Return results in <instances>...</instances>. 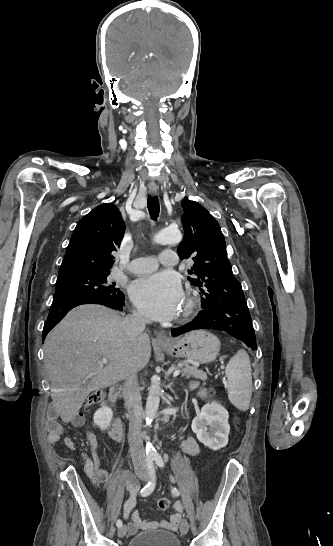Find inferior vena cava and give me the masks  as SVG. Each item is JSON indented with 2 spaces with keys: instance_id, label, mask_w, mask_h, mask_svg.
I'll return each instance as SVG.
<instances>
[{
  "instance_id": "inferior-vena-cava-1",
  "label": "inferior vena cava",
  "mask_w": 333,
  "mask_h": 546,
  "mask_svg": "<svg viewBox=\"0 0 333 546\" xmlns=\"http://www.w3.org/2000/svg\"><path fill=\"white\" fill-rule=\"evenodd\" d=\"M146 323H148V320L136 311H133L132 315H128L122 320L125 335L132 340L142 335ZM122 394L129 413V445L133 465L135 469L145 468L146 456L141 432L143 409L136 372H132L127 376Z\"/></svg>"
}]
</instances>
